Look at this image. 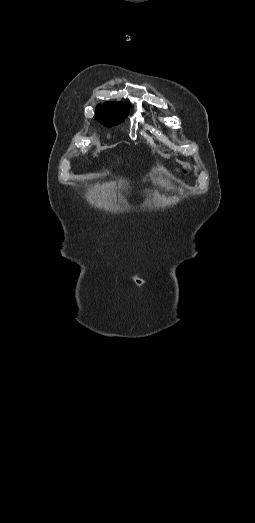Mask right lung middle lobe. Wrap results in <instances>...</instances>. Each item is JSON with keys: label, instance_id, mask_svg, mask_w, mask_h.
Returning <instances> with one entry per match:
<instances>
[{"label": "right lung middle lobe", "instance_id": "1", "mask_svg": "<svg viewBox=\"0 0 255 523\" xmlns=\"http://www.w3.org/2000/svg\"><path fill=\"white\" fill-rule=\"evenodd\" d=\"M129 107L123 103L98 105L94 116L107 127L119 124L127 117Z\"/></svg>", "mask_w": 255, "mask_h": 523}]
</instances>
